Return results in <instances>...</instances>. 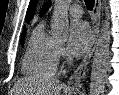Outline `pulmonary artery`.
<instances>
[{
	"label": "pulmonary artery",
	"instance_id": "pulmonary-artery-1",
	"mask_svg": "<svg viewBox=\"0 0 119 95\" xmlns=\"http://www.w3.org/2000/svg\"><path fill=\"white\" fill-rule=\"evenodd\" d=\"M68 11L73 17H80L83 13L82 7L78 4L71 5Z\"/></svg>",
	"mask_w": 119,
	"mask_h": 95
}]
</instances>
